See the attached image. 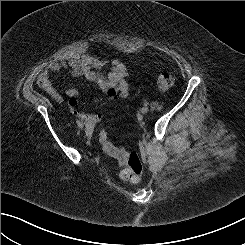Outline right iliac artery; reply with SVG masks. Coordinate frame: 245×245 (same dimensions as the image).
<instances>
[{"label":"right iliac artery","instance_id":"right-iliac-artery-1","mask_svg":"<svg viewBox=\"0 0 245 245\" xmlns=\"http://www.w3.org/2000/svg\"><path fill=\"white\" fill-rule=\"evenodd\" d=\"M76 123L78 124V126L81 124L80 120H77Z\"/></svg>","mask_w":245,"mask_h":245}]
</instances>
